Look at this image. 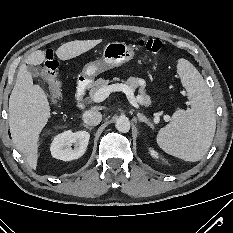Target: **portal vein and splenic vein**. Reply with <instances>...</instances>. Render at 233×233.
Listing matches in <instances>:
<instances>
[{
    "mask_svg": "<svg viewBox=\"0 0 233 233\" xmlns=\"http://www.w3.org/2000/svg\"><path fill=\"white\" fill-rule=\"evenodd\" d=\"M121 91L124 92L129 100L130 104L135 107L136 109L139 108L138 105V98L136 99L133 91L125 84L116 83L108 86H104L100 88L92 97L93 102L100 103L104 101L112 92ZM163 115V111L157 112L154 114L155 119H158L160 116ZM164 120L168 122L170 120V116L164 115Z\"/></svg>",
    "mask_w": 233,
    "mask_h": 233,
    "instance_id": "obj_1",
    "label": "portal vein and splenic vein"
}]
</instances>
